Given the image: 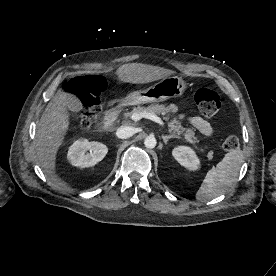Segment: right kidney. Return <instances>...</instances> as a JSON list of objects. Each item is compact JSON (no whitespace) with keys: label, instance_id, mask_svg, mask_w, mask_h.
Returning <instances> with one entry per match:
<instances>
[{"label":"right kidney","instance_id":"1","mask_svg":"<svg viewBox=\"0 0 276 276\" xmlns=\"http://www.w3.org/2000/svg\"><path fill=\"white\" fill-rule=\"evenodd\" d=\"M107 153L108 148L103 143L78 139L70 146L67 158L73 166L86 168L96 165Z\"/></svg>","mask_w":276,"mask_h":276}]
</instances>
